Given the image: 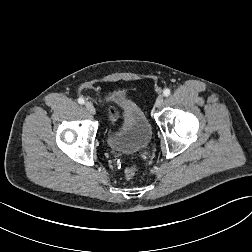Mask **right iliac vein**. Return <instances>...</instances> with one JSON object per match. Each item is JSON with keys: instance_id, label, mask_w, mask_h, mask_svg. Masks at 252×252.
<instances>
[{"instance_id": "63e3f726", "label": "right iliac vein", "mask_w": 252, "mask_h": 252, "mask_svg": "<svg viewBox=\"0 0 252 252\" xmlns=\"http://www.w3.org/2000/svg\"><path fill=\"white\" fill-rule=\"evenodd\" d=\"M85 108L88 110V112L92 115H95L96 114V109L95 107L93 106L92 103L90 102H86L85 103Z\"/></svg>"}]
</instances>
